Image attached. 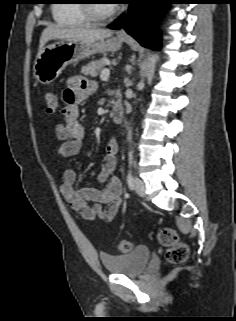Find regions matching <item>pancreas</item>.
<instances>
[{
    "label": "pancreas",
    "mask_w": 236,
    "mask_h": 321,
    "mask_svg": "<svg viewBox=\"0 0 236 321\" xmlns=\"http://www.w3.org/2000/svg\"><path fill=\"white\" fill-rule=\"evenodd\" d=\"M107 63L108 59L105 57L100 60L92 61L82 68V73L90 75L91 77H96L104 69Z\"/></svg>",
    "instance_id": "pancreas-1"
}]
</instances>
